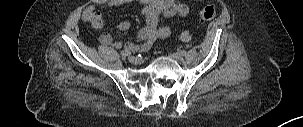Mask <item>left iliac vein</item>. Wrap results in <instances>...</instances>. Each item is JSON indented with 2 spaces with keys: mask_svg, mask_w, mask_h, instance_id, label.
Masks as SVG:
<instances>
[{
  "mask_svg": "<svg viewBox=\"0 0 303 127\" xmlns=\"http://www.w3.org/2000/svg\"><path fill=\"white\" fill-rule=\"evenodd\" d=\"M171 58L179 62L183 60V57L179 53L172 54Z\"/></svg>",
  "mask_w": 303,
  "mask_h": 127,
  "instance_id": "left-iliac-vein-1",
  "label": "left iliac vein"
}]
</instances>
